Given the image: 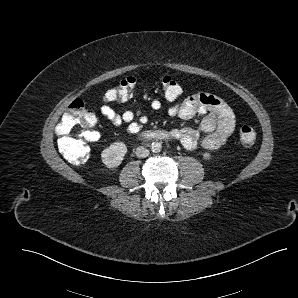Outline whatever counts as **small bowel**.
<instances>
[{"mask_svg": "<svg viewBox=\"0 0 298 298\" xmlns=\"http://www.w3.org/2000/svg\"><path fill=\"white\" fill-rule=\"evenodd\" d=\"M149 106L157 113L164 109L162 102L158 99H153ZM99 110L101 115L113 125H126V130L130 134L140 132L149 122V116L140 109L119 113L108 104H103ZM165 112L168 116L179 117L183 120H189L196 115L203 117L198 128L186 127L170 132L171 136L179 140L187 150H193L198 145L207 150H216L227 142L235 129V115L230 106L210 93L191 94L168 107Z\"/></svg>", "mask_w": 298, "mask_h": 298, "instance_id": "c3829d8e", "label": "small bowel"}]
</instances>
